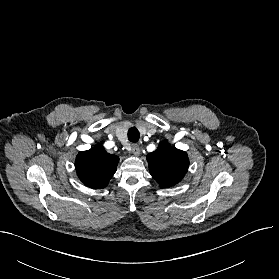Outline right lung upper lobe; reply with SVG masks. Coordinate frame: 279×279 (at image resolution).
<instances>
[{
  "label": "right lung upper lobe",
  "instance_id": "cb5924a9",
  "mask_svg": "<svg viewBox=\"0 0 279 279\" xmlns=\"http://www.w3.org/2000/svg\"><path fill=\"white\" fill-rule=\"evenodd\" d=\"M119 158L105 151L101 144L90 150L79 152L75 167L80 180L92 189H101L108 185L116 172Z\"/></svg>",
  "mask_w": 279,
  "mask_h": 279
}]
</instances>
